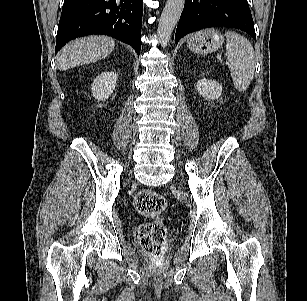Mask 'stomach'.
<instances>
[{"label": "stomach", "mask_w": 307, "mask_h": 301, "mask_svg": "<svg viewBox=\"0 0 307 301\" xmlns=\"http://www.w3.org/2000/svg\"><path fill=\"white\" fill-rule=\"evenodd\" d=\"M224 37L216 29H206L193 33L187 38L190 50L199 54H208L217 51L223 44Z\"/></svg>", "instance_id": "0dacf381"}]
</instances>
